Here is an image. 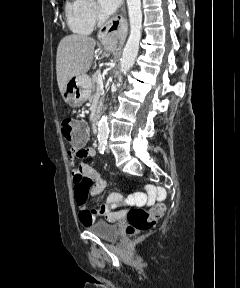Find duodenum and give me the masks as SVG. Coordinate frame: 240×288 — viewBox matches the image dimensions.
Masks as SVG:
<instances>
[{
	"label": "duodenum",
	"instance_id": "410a0bca",
	"mask_svg": "<svg viewBox=\"0 0 240 288\" xmlns=\"http://www.w3.org/2000/svg\"><path fill=\"white\" fill-rule=\"evenodd\" d=\"M101 114H102V110L101 109H97L94 112L93 117H92V128H93V131L95 133H97V131H98V123H99Z\"/></svg>",
	"mask_w": 240,
	"mask_h": 288
}]
</instances>
